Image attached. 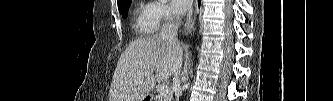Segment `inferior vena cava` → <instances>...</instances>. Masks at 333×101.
I'll use <instances>...</instances> for the list:
<instances>
[{
	"label": "inferior vena cava",
	"mask_w": 333,
	"mask_h": 101,
	"mask_svg": "<svg viewBox=\"0 0 333 101\" xmlns=\"http://www.w3.org/2000/svg\"><path fill=\"white\" fill-rule=\"evenodd\" d=\"M182 18L180 14H173L161 28L160 37L166 39L168 43L176 50V59L174 66V78L173 83L177 87L180 85L179 74L182 67V45L178 40L177 31L181 25ZM176 101L179 100V89L175 91Z\"/></svg>",
	"instance_id": "602c4592"
}]
</instances>
